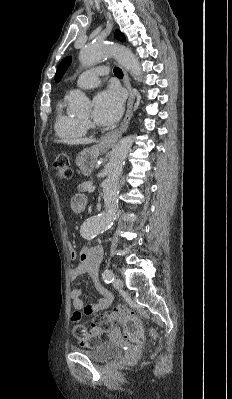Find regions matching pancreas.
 I'll return each instance as SVG.
<instances>
[{
	"label": "pancreas",
	"mask_w": 232,
	"mask_h": 399,
	"mask_svg": "<svg viewBox=\"0 0 232 399\" xmlns=\"http://www.w3.org/2000/svg\"><path fill=\"white\" fill-rule=\"evenodd\" d=\"M89 186H91V182H83V184H79L77 190L78 192H88Z\"/></svg>",
	"instance_id": "cf45deb5"
}]
</instances>
